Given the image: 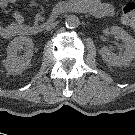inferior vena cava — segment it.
Segmentation results:
<instances>
[{
	"instance_id": "1",
	"label": "inferior vena cava",
	"mask_w": 135,
	"mask_h": 135,
	"mask_svg": "<svg viewBox=\"0 0 135 135\" xmlns=\"http://www.w3.org/2000/svg\"><path fill=\"white\" fill-rule=\"evenodd\" d=\"M56 26V23H51L50 25L47 26L46 30L49 31L53 29Z\"/></svg>"
}]
</instances>
